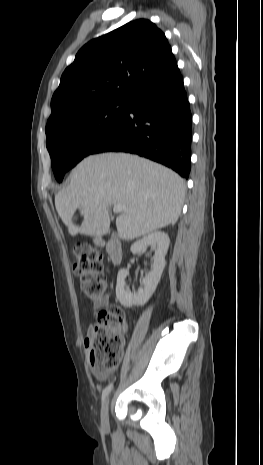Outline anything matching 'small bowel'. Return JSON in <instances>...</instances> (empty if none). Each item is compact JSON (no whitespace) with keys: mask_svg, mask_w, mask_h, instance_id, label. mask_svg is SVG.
<instances>
[{"mask_svg":"<svg viewBox=\"0 0 263 465\" xmlns=\"http://www.w3.org/2000/svg\"><path fill=\"white\" fill-rule=\"evenodd\" d=\"M108 302H109V297L108 296H103L100 299L93 300V305H94L95 308H101V307L105 306L106 304H108ZM90 330L88 332V335L90 333ZM85 345H86V347H88L86 343H85ZM93 372H94L95 376L98 377L99 379H105L108 376L107 372H98V371H96L94 369H93Z\"/></svg>","mask_w":263,"mask_h":465,"instance_id":"1","label":"small bowel"}]
</instances>
